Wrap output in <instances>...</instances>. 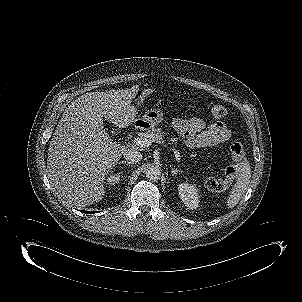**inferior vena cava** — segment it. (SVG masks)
Here are the masks:
<instances>
[{
  "mask_svg": "<svg viewBox=\"0 0 302 302\" xmlns=\"http://www.w3.org/2000/svg\"><path fill=\"white\" fill-rule=\"evenodd\" d=\"M124 158L131 163H138L142 159V154L133 149H126L123 152Z\"/></svg>",
  "mask_w": 302,
  "mask_h": 302,
  "instance_id": "1",
  "label": "inferior vena cava"
}]
</instances>
